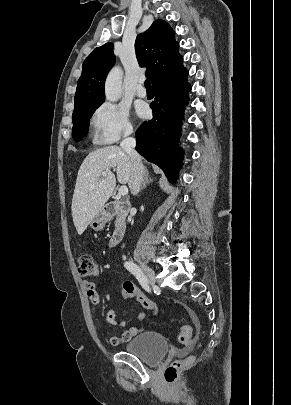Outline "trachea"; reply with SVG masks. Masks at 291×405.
<instances>
[{"label": "trachea", "mask_w": 291, "mask_h": 405, "mask_svg": "<svg viewBox=\"0 0 291 405\" xmlns=\"http://www.w3.org/2000/svg\"><path fill=\"white\" fill-rule=\"evenodd\" d=\"M145 87H146V89H152V86H151V83H150V80H149V79H146V81H145Z\"/></svg>", "instance_id": "1"}]
</instances>
